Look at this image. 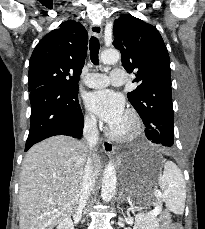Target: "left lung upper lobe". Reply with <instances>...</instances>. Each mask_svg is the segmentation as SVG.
Returning <instances> with one entry per match:
<instances>
[{"label": "left lung upper lobe", "mask_w": 205, "mask_h": 229, "mask_svg": "<svg viewBox=\"0 0 205 229\" xmlns=\"http://www.w3.org/2000/svg\"><path fill=\"white\" fill-rule=\"evenodd\" d=\"M113 33V45L121 52L123 67L128 73H134L133 82L139 83L127 97L146 126L145 134L152 133L154 126H160L169 138L160 144L172 146L170 59L160 33L154 26L126 14L115 20Z\"/></svg>", "instance_id": "5c2ea615"}]
</instances>
